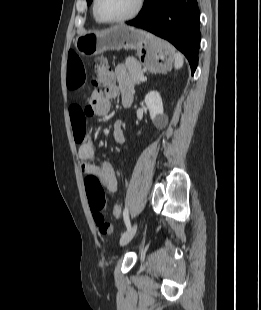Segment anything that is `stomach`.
Here are the masks:
<instances>
[{"label": "stomach", "mask_w": 261, "mask_h": 310, "mask_svg": "<svg viewBox=\"0 0 261 310\" xmlns=\"http://www.w3.org/2000/svg\"><path fill=\"white\" fill-rule=\"evenodd\" d=\"M77 51L85 56H95L107 50L134 49L139 64L152 73H167L174 62V48L167 42L125 25L78 36Z\"/></svg>", "instance_id": "stomach-1"}]
</instances>
